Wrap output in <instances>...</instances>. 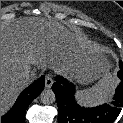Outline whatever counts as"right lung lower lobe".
I'll return each instance as SVG.
<instances>
[{"mask_svg": "<svg viewBox=\"0 0 123 123\" xmlns=\"http://www.w3.org/2000/svg\"><path fill=\"white\" fill-rule=\"evenodd\" d=\"M45 77L42 76L27 87L17 98L10 111L1 117V123H25V111L29 104L44 89Z\"/></svg>", "mask_w": 123, "mask_h": 123, "instance_id": "right-lung-lower-lobe-1", "label": "right lung lower lobe"}]
</instances>
